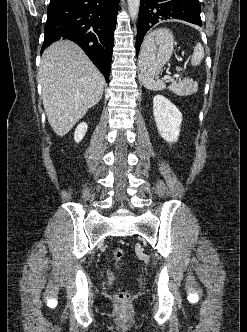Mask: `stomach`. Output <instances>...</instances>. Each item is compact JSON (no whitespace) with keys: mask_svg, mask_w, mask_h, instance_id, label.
<instances>
[{"mask_svg":"<svg viewBox=\"0 0 247 332\" xmlns=\"http://www.w3.org/2000/svg\"><path fill=\"white\" fill-rule=\"evenodd\" d=\"M174 37L168 29L150 32L141 47L139 68L146 77H156L170 60L174 49Z\"/></svg>","mask_w":247,"mask_h":332,"instance_id":"stomach-1","label":"stomach"}]
</instances>
